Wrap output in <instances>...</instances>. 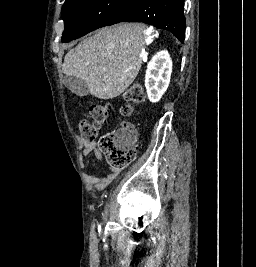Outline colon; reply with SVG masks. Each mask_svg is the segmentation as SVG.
Returning a JSON list of instances; mask_svg holds the SVG:
<instances>
[{"label":"colon","mask_w":256,"mask_h":267,"mask_svg":"<svg viewBox=\"0 0 256 267\" xmlns=\"http://www.w3.org/2000/svg\"><path fill=\"white\" fill-rule=\"evenodd\" d=\"M125 104L120 114L128 117L133 114V104H141L144 98L142 84L134 83L124 93ZM110 114L108 104H99L89 108L87 118L79 123V133L85 140L93 139L107 121ZM139 135L131 124H123L117 132L104 135L99 141V148L104 153L108 164L112 167H125L132 163L136 156Z\"/></svg>","instance_id":"5ec220e1"}]
</instances>
